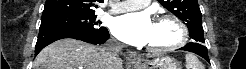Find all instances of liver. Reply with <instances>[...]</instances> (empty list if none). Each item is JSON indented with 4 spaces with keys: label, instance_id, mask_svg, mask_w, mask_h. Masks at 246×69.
<instances>
[{
    "label": "liver",
    "instance_id": "liver-1",
    "mask_svg": "<svg viewBox=\"0 0 246 69\" xmlns=\"http://www.w3.org/2000/svg\"><path fill=\"white\" fill-rule=\"evenodd\" d=\"M34 69H122L107 47L90 45L74 39H63L45 47L36 57Z\"/></svg>",
    "mask_w": 246,
    "mask_h": 69
}]
</instances>
